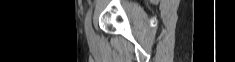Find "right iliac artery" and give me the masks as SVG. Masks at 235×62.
Masks as SVG:
<instances>
[{
  "label": "right iliac artery",
  "mask_w": 235,
  "mask_h": 62,
  "mask_svg": "<svg viewBox=\"0 0 235 62\" xmlns=\"http://www.w3.org/2000/svg\"><path fill=\"white\" fill-rule=\"evenodd\" d=\"M85 30L87 36L91 33L92 27H91V10L88 11L85 19Z\"/></svg>",
  "instance_id": "1"
}]
</instances>
